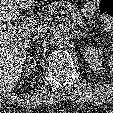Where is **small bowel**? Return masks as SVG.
<instances>
[{"mask_svg":"<svg viewBox=\"0 0 113 113\" xmlns=\"http://www.w3.org/2000/svg\"><path fill=\"white\" fill-rule=\"evenodd\" d=\"M95 11V1H89L84 7V15L89 18L94 14Z\"/></svg>","mask_w":113,"mask_h":113,"instance_id":"1","label":"small bowel"}]
</instances>
